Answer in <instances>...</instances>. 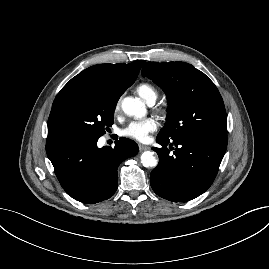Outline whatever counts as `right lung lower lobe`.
<instances>
[{
  "label": "right lung lower lobe",
  "instance_id": "98d812e1",
  "mask_svg": "<svg viewBox=\"0 0 269 269\" xmlns=\"http://www.w3.org/2000/svg\"><path fill=\"white\" fill-rule=\"evenodd\" d=\"M98 139L62 138L46 143V153L63 189L75 200L94 204L117 190V169L138 153L137 144L120 138L114 148L97 147Z\"/></svg>",
  "mask_w": 269,
  "mask_h": 269
}]
</instances>
